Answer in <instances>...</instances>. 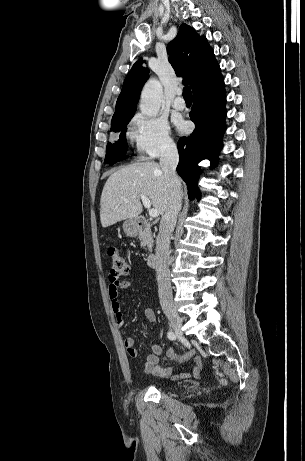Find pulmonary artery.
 Here are the masks:
<instances>
[{"mask_svg": "<svg viewBox=\"0 0 305 461\" xmlns=\"http://www.w3.org/2000/svg\"><path fill=\"white\" fill-rule=\"evenodd\" d=\"M182 92L179 90L177 91V96L172 102V106L176 110H183L186 107V103L184 99L181 97Z\"/></svg>", "mask_w": 305, "mask_h": 461, "instance_id": "1", "label": "pulmonary artery"}]
</instances>
